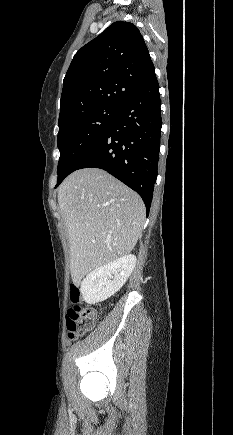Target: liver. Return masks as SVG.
<instances>
[{
    "mask_svg": "<svg viewBox=\"0 0 233 435\" xmlns=\"http://www.w3.org/2000/svg\"><path fill=\"white\" fill-rule=\"evenodd\" d=\"M58 204L70 244L73 282L129 254L145 220L140 196L106 171L85 168L58 189Z\"/></svg>",
    "mask_w": 233,
    "mask_h": 435,
    "instance_id": "6515ba94",
    "label": "liver"
}]
</instances>
